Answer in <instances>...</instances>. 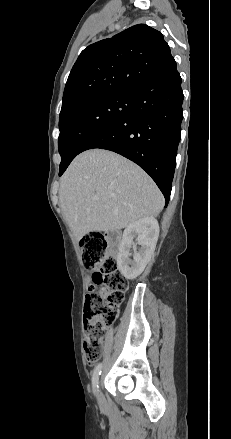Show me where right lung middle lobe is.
Wrapping results in <instances>:
<instances>
[{"mask_svg": "<svg viewBox=\"0 0 231 439\" xmlns=\"http://www.w3.org/2000/svg\"><path fill=\"white\" fill-rule=\"evenodd\" d=\"M133 106V93L105 94L84 100L61 113L58 138L60 171L68 167L89 138L131 111Z\"/></svg>", "mask_w": 231, "mask_h": 439, "instance_id": "dd1d6c3e", "label": "right lung middle lobe"}]
</instances>
